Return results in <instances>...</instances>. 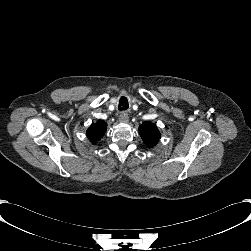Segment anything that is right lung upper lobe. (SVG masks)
<instances>
[{"label":"right lung upper lobe","mask_w":251,"mask_h":251,"mask_svg":"<svg viewBox=\"0 0 251 251\" xmlns=\"http://www.w3.org/2000/svg\"><path fill=\"white\" fill-rule=\"evenodd\" d=\"M107 124L103 120H99L97 123H93L87 130V137L92 143L100 140L105 134Z\"/></svg>","instance_id":"obj_1"}]
</instances>
